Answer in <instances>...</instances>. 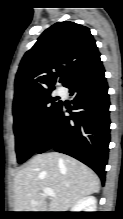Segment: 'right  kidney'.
Here are the masks:
<instances>
[{
    "mask_svg": "<svg viewBox=\"0 0 123 219\" xmlns=\"http://www.w3.org/2000/svg\"><path fill=\"white\" fill-rule=\"evenodd\" d=\"M96 198L87 196L80 199L71 209V212H96Z\"/></svg>",
    "mask_w": 123,
    "mask_h": 219,
    "instance_id": "right-kidney-1",
    "label": "right kidney"
}]
</instances>
